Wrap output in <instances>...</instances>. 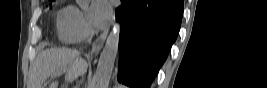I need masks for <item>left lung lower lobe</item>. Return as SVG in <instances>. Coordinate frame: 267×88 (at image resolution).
Returning a JSON list of instances; mask_svg holds the SVG:
<instances>
[{
    "instance_id": "1",
    "label": "left lung lower lobe",
    "mask_w": 267,
    "mask_h": 88,
    "mask_svg": "<svg viewBox=\"0 0 267 88\" xmlns=\"http://www.w3.org/2000/svg\"><path fill=\"white\" fill-rule=\"evenodd\" d=\"M183 0H122L118 80L131 88H150L177 38Z\"/></svg>"
}]
</instances>
